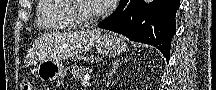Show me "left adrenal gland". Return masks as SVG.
<instances>
[{
    "mask_svg": "<svg viewBox=\"0 0 216 90\" xmlns=\"http://www.w3.org/2000/svg\"><path fill=\"white\" fill-rule=\"evenodd\" d=\"M127 60H129V58H123V60H115V62H112L111 72L108 76V84H110V82H111L112 74H115V72H116V70H118L119 66H121V64H125V62H127Z\"/></svg>",
    "mask_w": 216,
    "mask_h": 90,
    "instance_id": "obj_1",
    "label": "left adrenal gland"
}]
</instances>
